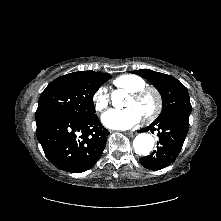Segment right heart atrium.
Instances as JSON below:
<instances>
[{
  "label": "right heart atrium",
  "mask_w": 221,
  "mask_h": 221,
  "mask_svg": "<svg viewBox=\"0 0 221 221\" xmlns=\"http://www.w3.org/2000/svg\"><path fill=\"white\" fill-rule=\"evenodd\" d=\"M92 101L96 112H102L105 110L109 105V96L106 88L100 87L97 89L93 95Z\"/></svg>",
  "instance_id": "obj_1"
}]
</instances>
